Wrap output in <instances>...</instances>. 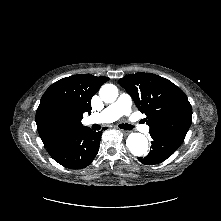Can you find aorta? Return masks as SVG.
Returning a JSON list of instances; mask_svg holds the SVG:
<instances>
[{
  "instance_id": "aorta-1",
  "label": "aorta",
  "mask_w": 221,
  "mask_h": 221,
  "mask_svg": "<svg viewBox=\"0 0 221 221\" xmlns=\"http://www.w3.org/2000/svg\"><path fill=\"white\" fill-rule=\"evenodd\" d=\"M99 95L105 103H112L118 97V89L113 84H104ZM126 146L134 156L141 157L148 153V140L141 133H131L126 140Z\"/></svg>"
}]
</instances>
